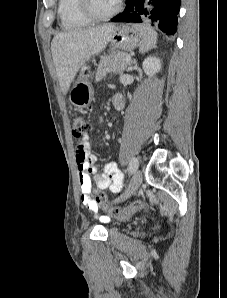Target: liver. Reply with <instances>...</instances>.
<instances>
[{
    "label": "liver",
    "mask_w": 227,
    "mask_h": 298,
    "mask_svg": "<svg viewBox=\"0 0 227 298\" xmlns=\"http://www.w3.org/2000/svg\"><path fill=\"white\" fill-rule=\"evenodd\" d=\"M114 29L113 24H106L63 32L53 38L51 52L64 95L85 62L107 46Z\"/></svg>",
    "instance_id": "obj_1"
}]
</instances>
